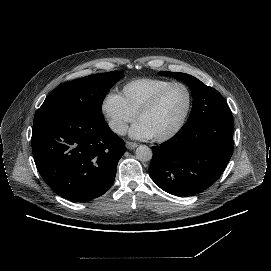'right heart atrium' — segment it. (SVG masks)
Segmentation results:
<instances>
[{
  "instance_id": "1",
  "label": "right heart atrium",
  "mask_w": 271,
  "mask_h": 271,
  "mask_svg": "<svg viewBox=\"0 0 271 271\" xmlns=\"http://www.w3.org/2000/svg\"><path fill=\"white\" fill-rule=\"evenodd\" d=\"M100 110L108 127L117 135H124L135 116L126 108L120 94L107 91L101 101Z\"/></svg>"
}]
</instances>
